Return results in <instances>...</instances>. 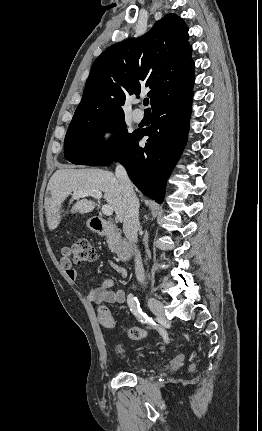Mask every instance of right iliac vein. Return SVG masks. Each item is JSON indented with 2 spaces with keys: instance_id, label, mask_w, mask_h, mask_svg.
<instances>
[{
  "instance_id": "obj_1",
  "label": "right iliac vein",
  "mask_w": 262,
  "mask_h": 431,
  "mask_svg": "<svg viewBox=\"0 0 262 431\" xmlns=\"http://www.w3.org/2000/svg\"><path fill=\"white\" fill-rule=\"evenodd\" d=\"M148 306H149L150 310L155 315H157V316H162L163 315V313H164V304L160 300H158V299H156L154 297L149 296L148 297Z\"/></svg>"
}]
</instances>
